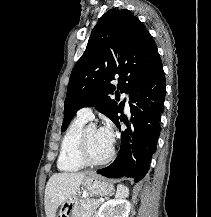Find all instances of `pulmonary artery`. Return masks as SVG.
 I'll use <instances>...</instances> for the list:
<instances>
[{
  "mask_svg": "<svg viewBox=\"0 0 211 217\" xmlns=\"http://www.w3.org/2000/svg\"><path fill=\"white\" fill-rule=\"evenodd\" d=\"M123 98L125 99V109L128 111L129 110V98L126 93H123ZM77 116L85 121H88L93 118V111L91 107H83L81 108Z\"/></svg>",
  "mask_w": 211,
  "mask_h": 217,
  "instance_id": "obj_1",
  "label": "pulmonary artery"
}]
</instances>
